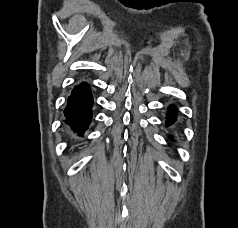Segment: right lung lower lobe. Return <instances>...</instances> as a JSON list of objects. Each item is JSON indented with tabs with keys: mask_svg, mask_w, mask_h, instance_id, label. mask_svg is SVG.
<instances>
[{
	"mask_svg": "<svg viewBox=\"0 0 238 228\" xmlns=\"http://www.w3.org/2000/svg\"><path fill=\"white\" fill-rule=\"evenodd\" d=\"M67 102L64 110L65 124L81 136L87 130L92 118L93 98L89 86L86 83L76 86Z\"/></svg>",
	"mask_w": 238,
	"mask_h": 228,
	"instance_id": "obj_1",
	"label": "right lung lower lobe"
}]
</instances>
